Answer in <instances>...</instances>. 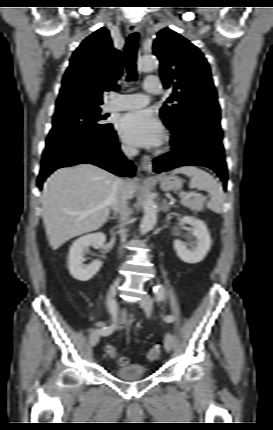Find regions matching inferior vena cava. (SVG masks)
<instances>
[{
	"instance_id": "1",
	"label": "inferior vena cava",
	"mask_w": 273,
	"mask_h": 430,
	"mask_svg": "<svg viewBox=\"0 0 273 430\" xmlns=\"http://www.w3.org/2000/svg\"><path fill=\"white\" fill-rule=\"evenodd\" d=\"M123 152L130 159L138 153L137 149L133 147H123ZM124 184H125V180L119 177L115 178L112 184L111 193L109 195L110 206L113 208V210L116 213H119L120 221L122 223H125L130 216L128 201H127L128 197L124 190ZM124 240H125V230L122 228L121 242H124Z\"/></svg>"
}]
</instances>
